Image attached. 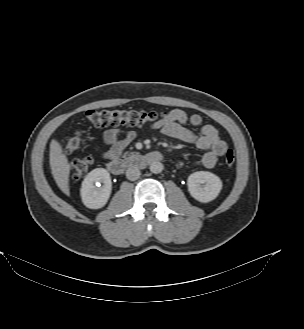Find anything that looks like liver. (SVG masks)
<instances>
[{"instance_id": "liver-1", "label": "liver", "mask_w": 304, "mask_h": 329, "mask_svg": "<svg viewBox=\"0 0 304 329\" xmlns=\"http://www.w3.org/2000/svg\"><path fill=\"white\" fill-rule=\"evenodd\" d=\"M49 163L57 186L64 194L69 196L70 164L66 155L63 153L62 145L55 139L50 143Z\"/></svg>"}]
</instances>
